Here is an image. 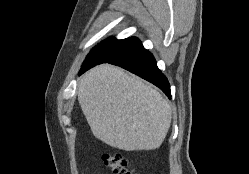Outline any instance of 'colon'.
<instances>
[{
    "mask_svg": "<svg viewBox=\"0 0 249 174\" xmlns=\"http://www.w3.org/2000/svg\"><path fill=\"white\" fill-rule=\"evenodd\" d=\"M102 160L113 174H135L128 160L119 152L104 153Z\"/></svg>",
    "mask_w": 249,
    "mask_h": 174,
    "instance_id": "obj_1",
    "label": "colon"
}]
</instances>
